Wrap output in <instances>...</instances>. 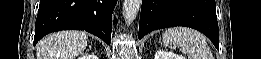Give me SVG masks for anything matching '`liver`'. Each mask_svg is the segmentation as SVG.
Masks as SVG:
<instances>
[{
    "instance_id": "liver-1",
    "label": "liver",
    "mask_w": 261,
    "mask_h": 59,
    "mask_svg": "<svg viewBox=\"0 0 261 59\" xmlns=\"http://www.w3.org/2000/svg\"><path fill=\"white\" fill-rule=\"evenodd\" d=\"M88 45V36L80 31L49 34L37 44V59H75Z\"/></svg>"
}]
</instances>
